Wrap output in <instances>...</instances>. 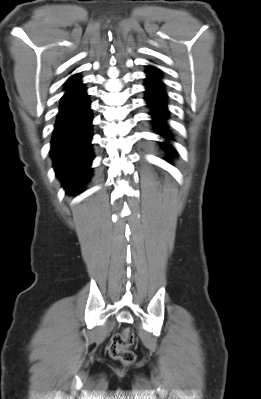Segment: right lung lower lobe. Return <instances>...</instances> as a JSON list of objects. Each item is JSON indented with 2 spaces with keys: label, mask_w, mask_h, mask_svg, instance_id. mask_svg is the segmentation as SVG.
Returning <instances> with one entry per match:
<instances>
[{
  "label": "right lung lower lobe",
  "mask_w": 261,
  "mask_h": 399,
  "mask_svg": "<svg viewBox=\"0 0 261 399\" xmlns=\"http://www.w3.org/2000/svg\"><path fill=\"white\" fill-rule=\"evenodd\" d=\"M58 112L51 155L56 175L66 191L79 189L90 177L92 114L80 77L69 80Z\"/></svg>",
  "instance_id": "1"
}]
</instances>
